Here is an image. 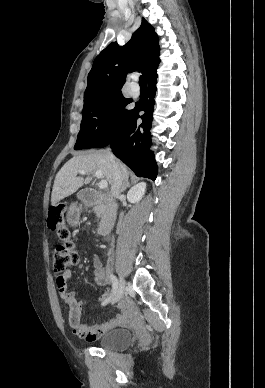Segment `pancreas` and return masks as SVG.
Here are the masks:
<instances>
[{
	"label": "pancreas",
	"instance_id": "pancreas-1",
	"mask_svg": "<svg viewBox=\"0 0 265 388\" xmlns=\"http://www.w3.org/2000/svg\"><path fill=\"white\" fill-rule=\"evenodd\" d=\"M94 212H95V214H96L97 218H101L102 214H101V212H99V208H98V206H95V208H94Z\"/></svg>",
	"mask_w": 265,
	"mask_h": 388
}]
</instances>
